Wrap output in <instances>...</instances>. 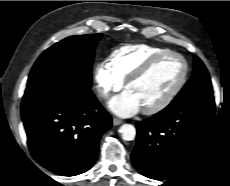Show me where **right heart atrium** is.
I'll return each instance as SVG.
<instances>
[{
	"label": "right heart atrium",
	"instance_id": "d8ad5b80",
	"mask_svg": "<svg viewBox=\"0 0 230 186\" xmlns=\"http://www.w3.org/2000/svg\"><path fill=\"white\" fill-rule=\"evenodd\" d=\"M94 81L96 90L103 99L109 98L123 87V81L113 71L109 62L105 60L96 64L94 68Z\"/></svg>",
	"mask_w": 230,
	"mask_h": 186
}]
</instances>
